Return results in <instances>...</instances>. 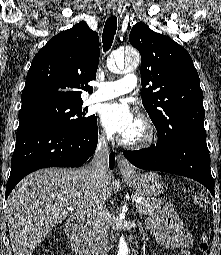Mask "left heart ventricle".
Wrapping results in <instances>:
<instances>
[{
    "instance_id": "obj_1",
    "label": "left heart ventricle",
    "mask_w": 221,
    "mask_h": 255,
    "mask_svg": "<svg viewBox=\"0 0 221 255\" xmlns=\"http://www.w3.org/2000/svg\"><path fill=\"white\" fill-rule=\"evenodd\" d=\"M141 134H142L141 126L136 121L133 127L124 135V137L128 139H137L141 136Z\"/></svg>"
}]
</instances>
